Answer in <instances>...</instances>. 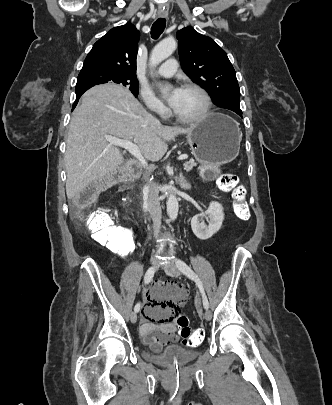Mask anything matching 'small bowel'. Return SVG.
Instances as JSON below:
<instances>
[{
    "label": "small bowel",
    "mask_w": 332,
    "mask_h": 405,
    "mask_svg": "<svg viewBox=\"0 0 332 405\" xmlns=\"http://www.w3.org/2000/svg\"><path fill=\"white\" fill-rule=\"evenodd\" d=\"M168 285L155 284L147 294L143 308L140 333L143 344L149 349H174L181 347L182 340L174 332L178 325L169 320L173 311H182L188 301V288H167ZM199 305V300H196Z\"/></svg>",
    "instance_id": "c3829d8e"
}]
</instances>
